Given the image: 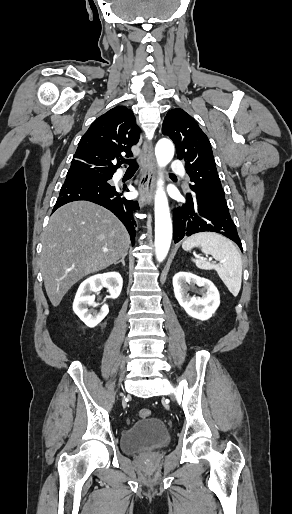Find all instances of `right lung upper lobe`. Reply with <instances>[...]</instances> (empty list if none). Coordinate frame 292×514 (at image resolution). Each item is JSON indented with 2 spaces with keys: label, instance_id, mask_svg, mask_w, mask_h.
Wrapping results in <instances>:
<instances>
[{
  "label": "right lung upper lobe",
  "instance_id": "right-lung-upper-lobe-1",
  "mask_svg": "<svg viewBox=\"0 0 292 514\" xmlns=\"http://www.w3.org/2000/svg\"><path fill=\"white\" fill-rule=\"evenodd\" d=\"M140 129L133 112L117 106L97 118L82 136L68 174H114L121 166V153L132 156ZM117 161V163H116Z\"/></svg>",
  "mask_w": 292,
  "mask_h": 514
}]
</instances>
